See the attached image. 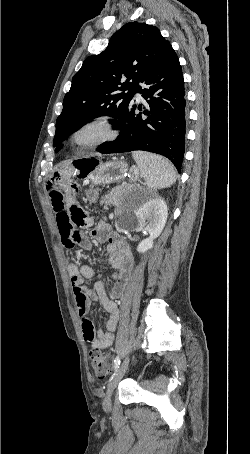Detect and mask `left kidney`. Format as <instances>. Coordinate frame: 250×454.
<instances>
[{
  "label": "left kidney",
  "mask_w": 250,
  "mask_h": 454,
  "mask_svg": "<svg viewBox=\"0 0 250 454\" xmlns=\"http://www.w3.org/2000/svg\"><path fill=\"white\" fill-rule=\"evenodd\" d=\"M135 216L138 224L145 226L150 235L137 246L139 253H145L153 248L154 239L161 234L165 226L168 216L167 205L161 197L151 198L135 211Z\"/></svg>",
  "instance_id": "left-kidney-1"
}]
</instances>
